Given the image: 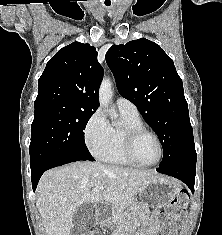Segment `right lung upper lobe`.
I'll list each match as a JSON object with an SVG mask.
<instances>
[{
  "label": "right lung upper lobe",
  "instance_id": "cb5924a9",
  "mask_svg": "<svg viewBox=\"0 0 222 235\" xmlns=\"http://www.w3.org/2000/svg\"><path fill=\"white\" fill-rule=\"evenodd\" d=\"M97 54L95 47L80 42L61 48L38 80L34 113L56 105L96 111L103 77Z\"/></svg>",
  "mask_w": 222,
  "mask_h": 235
}]
</instances>
